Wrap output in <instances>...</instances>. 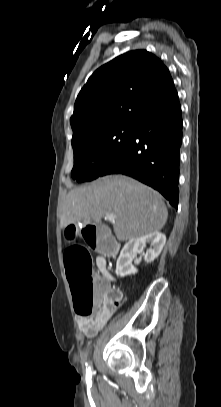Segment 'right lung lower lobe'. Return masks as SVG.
<instances>
[{
  "mask_svg": "<svg viewBox=\"0 0 221 407\" xmlns=\"http://www.w3.org/2000/svg\"><path fill=\"white\" fill-rule=\"evenodd\" d=\"M182 113L177 91L135 123L130 142L101 176L122 173L158 190L178 206Z\"/></svg>",
  "mask_w": 221,
  "mask_h": 407,
  "instance_id": "1",
  "label": "right lung lower lobe"
}]
</instances>
